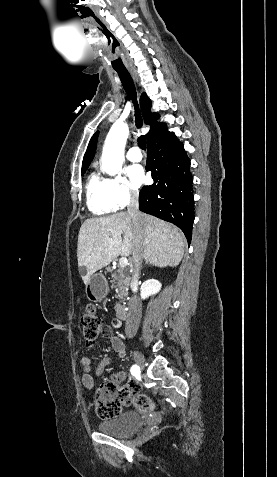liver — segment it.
<instances>
[{
	"label": "liver",
	"mask_w": 277,
	"mask_h": 477,
	"mask_svg": "<svg viewBox=\"0 0 277 477\" xmlns=\"http://www.w3.org/2000/svg\"><path fill=\"white\" fill-rule=\"evenodd\" d=\"M141 218L143 258L158 267L177 266L184 255L183 233L174 225L148 214H141ZM134 238L132 218L126 212L85 220L77 245L78 266L86 268V274L82 276L84 284L119 255L133 254Z\"/></svg>",
	"instance_id": "obj_1"
}]
</instances>
